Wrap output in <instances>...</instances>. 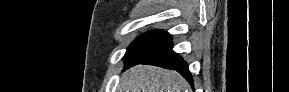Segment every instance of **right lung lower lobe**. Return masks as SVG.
<instances>
[{
  "label": "right lung lower lobe",
  "instance_id": "obj_1",
  "mask_svg": "<svg viewBox=\"0 0 289 92\" xmlns=\"http://www.w3.org/2000/svg\"><path fill=\"white\" fill-rule=\"evenodd\" d=\"M172 47H169L155 55H152L147 58H142L139 60H136L129 64L126 68L127 69L131 66H134L136 64H149V65H155L159 67H163L166 69L176 70L178 71L186 80L193 85V79L192 75L189 71L188 64L183 60L179 54L175 53L173 50H171Z\"/></svg>",
  "mask_w": 289,
  "mask_h": 92
}]
</instances>
